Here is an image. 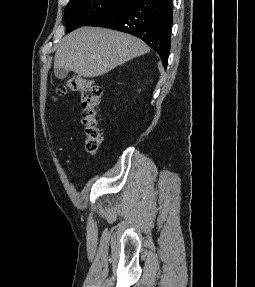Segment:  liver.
Here are the masks:
<instances>
[{"instance_id":"1","label":"liver","mask_w":255,"mask_h":287,"mask_svg":"<svg viewBox=\"0 0 255 287\" xmlns=\"http://www.w3.org/2000/svg\"><path fill=\"white\" fill-rule=\"evenodd\" d=\"M149 50L142 40L123 32L79 28L61 40L54 66L71 70L83 78H95L136 56H144Z\"/></svg>"}]
</instances>
